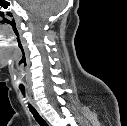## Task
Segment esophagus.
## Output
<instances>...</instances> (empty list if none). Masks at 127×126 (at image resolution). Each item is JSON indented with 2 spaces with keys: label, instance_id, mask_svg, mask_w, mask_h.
I'll return each instance as SVG.
<instances>
[{
  "label": "esophagus",
  "instance_id": "34e87169",
  "mask_svg": "<svg viewBox=\"0 0 127 126\" xmlns=\"http://www.w3.org/2000/svg\"><path fill=\"white\" fill-rule=\"evenodd\" d=\"M29 96H30L31 103L33 104V106L35 107V109L39 112V114L42 116V114H41V112H40V110H39V108L37 106V103H36V101H35V99H34L33 94H32L31 91H29Z\"/></svg>",
  "mask_w": 127,
  "mask_h": 126
}]
</instances>
